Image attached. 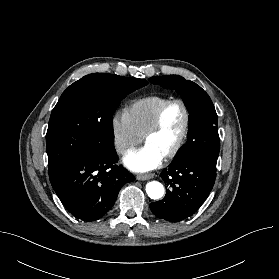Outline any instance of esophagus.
<instances>
[{"label":"esophagus","mask_w":279,"mask_h":279,"mask_svg":"<svg viewBox=\"0 0 279 279\" xmlns=\"http://www.w3.org/2000/svg\"><path fill=\"white\" fill-rule=\"evenodd\" d=\"M154 177V174H144V175H137L136 176V179L137 180H148L150 178H153Z\"/></svg>","instance_id":"34e87169"}]
</instances>
